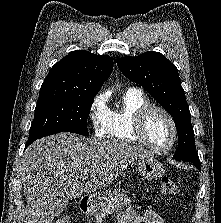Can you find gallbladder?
<instances>
[{
  "label": "gallbladder",
  "mask_w": 221,
  "mask_h": 223,
  "mask_svg": "<svg viewBox=\"0 0 221 223\" xmlns=\"http://www.w3.org/2000/svg\"><path fill=\"white\" fill-rule=\"evenodd\" d=\"M68 203V200L66 198H62V207L60 208V211H63Z\"/></svg>",
  "instance_id": "bac80fb5"
}]
</instances>
